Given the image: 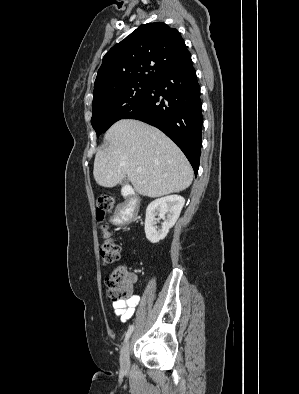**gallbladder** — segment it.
<instances>
[{
	"label": "gallbladder",
	"mask_w": 299,
	"mask_h": 394,
	"mask_svg": "<svg viewBox=\"0 0 299 394\" xmlns=\"http://www.w3.org/2000/svg\"><path fill=\"white\" fill-rule=\"evenodd\" d=\"M128 178L127 177H125L121 182H120V184L122 185V186H125V185H127L128 184Z\"/></svg>",
	"instance_id": "obj_1"
}]
</instances>
